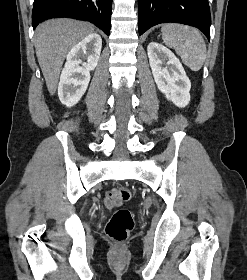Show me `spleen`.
I'll return each mask as SVG.
<instances>
[{"instance_id":"spleen-1","label":"spleen","mask_w":247,"mask_h":280,"mask_svg":"<svg viewBox=\"0 0 247 280\" xmlns=\"http://www.w3.org/2000/svg\"><path fill=\"white\" fill-rule=\"evenodd\" d=\"M164 43L173 48L192 71H199L206 59V45L200 32L187 25L169 23L162 27Z\"/></svg>"}]
</instances>
